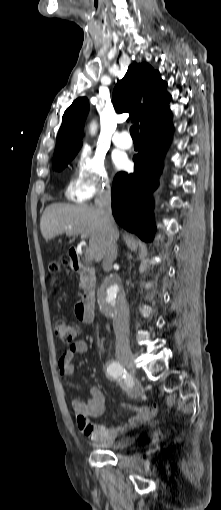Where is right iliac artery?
I'll use <instances>...</instances> for the list:
<instances>
[{
    "mask_svg": "<svg viewBox=\"0 0 221 510\" xmlns=\"http://www.w3.org/2000/svg\"><path fill=\"white\" fill-rule=\"evenodd\" d=\"M107 372L113 378H125L127 375L125 368L118 361H112L109 363Z\"/></svg>",
    "mask_w": 221,
    "mask_h": 510,
    "instance_id": "1",
    "label": "right iliac artery"
}]
</instances>
